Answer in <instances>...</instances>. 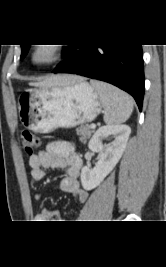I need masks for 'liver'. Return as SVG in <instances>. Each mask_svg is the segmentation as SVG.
<instances>
[{
	"label": "liver",
	"instance_id": "6515ba94",
	"mask_svg": "<svg viewBox=\"0 0 166 267\" xmlns=\"http://www.w3.org/2000/svg\"><path fill=\"white\" fill-rule=\"evenodd\" d=\"M79 81H82V79L74 75H58L49 77L40 82L31 83V85L38 87H53L59 85H73Z\"/></svg>",
	"mask_w": 166,
	"mask_h": 267
}]
</instances>
